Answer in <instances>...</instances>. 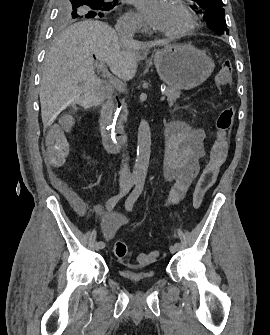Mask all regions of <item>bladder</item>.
<instances>
[{"label":"bladder","mask_w":270,"mask_h":335,"mask_svg":"<svg viewBox=\"0 0 270 335\" xmlns=\"http://www.w3.org/2000/svg\"><path fill=\"white\" fill-rule=\"evenodd\" d=\"M122 277L125 282L139 284L152 281L155 278V274L153 272L122 271Z\"/></svg>","instance_id":"31cf9c89"}]
</instances>
